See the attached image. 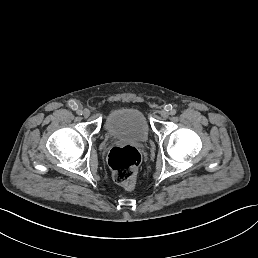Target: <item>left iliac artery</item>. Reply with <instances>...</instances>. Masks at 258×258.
<instances>
[{
  "label": "left iliac artery",
  "mask_w": 258,
  "mask_h": 258,
  "mask_svg": "<svg viewBox=\"0 0 258 258\" xmlns=\"http://www.w3.org/2000/svg\"><path fill=\"white\" fill-rule=\"evenodd\" d=\"M176 113H177L176 109H173V110L170 111V115H172V116H174Z\"/></svg>",
  "instance_id": "obj_1"
}]
</instances>
